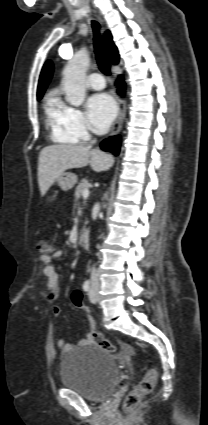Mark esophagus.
Here are the masks:
<instances>
[{"mask_svg": "<svg viewBox=\"0 0 208 425\" xmlns=\"http://www.w3.org/2000/svg\"><path fill=\"white\" fill-rule=\"evenodd\" d=\"M118 116L117 119L115 120L114 124H113V128H112V132L111 135L114 136L116 134H118L120 132L123 120L125 118L126 115V105L124 100H122L121 98H118Z\"/></svg>", "mask_w": 208, "mask_h": 425, "instance_id": "obj_1", "label": "esophagus"}]
</instances>
